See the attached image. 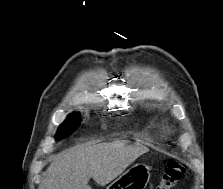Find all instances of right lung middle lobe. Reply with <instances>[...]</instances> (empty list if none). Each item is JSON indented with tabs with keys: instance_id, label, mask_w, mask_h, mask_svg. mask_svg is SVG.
Here are the masks:
<instances>
[{
	"instance_id": "1",
	"label": "right lung middle lobe",
	"mask_w": 223,
	"mask_h": 189,
	"mask_svg": "<svg viewBox=\"0 0 223 189\" xmlns=\"http://www.w3.org/2000/svg\"><path fill=\"white\" fill-rule=\"evenodd\" d=\"M81 118L79 113H72L68 116L64 123L59 127L56 138L57 140L64 139L76 131L80 126Z\"/></svg>"
}]
</instances>
